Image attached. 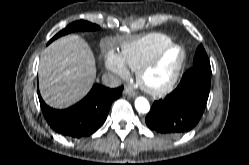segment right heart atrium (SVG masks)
Masks as SVG:
<instances>
[{
	"mask_svg": "<svg viewBox=\"0 0 249 165\" xmlns=\"http://www.w3.org/2000/svg\"><path fill=\"white\" fill-rule=\"evenodd\" d=\"M106 68L116 74L119 77H127L129 75V68L121 58V56L114 51L110 50L107 52L105 57Z\"/></svg>",
	"mask_w": 249,
	"mask_h": 165,
	"instance_id": "d8ad5b80",
	"label": "right heart atrium"
}]
</instances>
